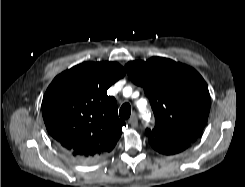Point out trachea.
Masks as SVG:
<instances>
[{
  "mask_svg": "<svg viewBox=\"0 0 245 187\" xmlns=\"http://www.w3.org/2000/svg\"><path fill=\"white\" fill-rule=\"evenodd\" d=\"M131 114V106L128 103H125L121 106L119 115L122 119H128Z\"/></svg>",
  "mask_w": 245,
  "mask_h": 187,
  "instance_id": "3493384b",
  "label": "trachea"
}]
</instances>
